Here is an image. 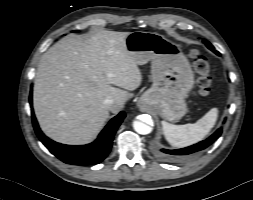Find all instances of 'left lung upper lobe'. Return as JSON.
Segmentation results:
<instances>
[{"instance_id": "1", "label": "left lung upper lobe", "mask_w": 253, "mask_h": 200, "mask_svg": "<svg viewBox=\"0 0 253 200\" xmlns=\"http://www.w3.org/2000/svg\"><path fill=\"white\" fill-rule=\"evenodd\" d=\"M203 42L205 43V45L210 49V50H212L214 53H216V54H219L217 51H215L214 50V47H213V45H211L207 40H203Z\"/></svg>"}]
</instances>
